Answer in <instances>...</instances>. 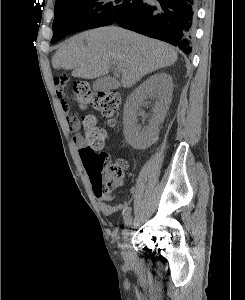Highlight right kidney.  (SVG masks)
Returning a JSON list of instances; mask_svg holds the SVG:
<instances>
[{"mask_svg": "<svg viewBox=\"0 0 245 300\" xmlns=\"http://www.w3.org/2000/svg\"><path fill=\"white\" fill-rule=\"evenodd\" d=\"M173 83L167 73H157L149 77L131 93L124 105V136L129 145L135 149H146L152 145L159 134V125L164 121L172 99ZM148 97H155L154 115L149 125L138 124L137 115Z\"/></svg>", "mask_w": 245, "mask_h": 300, "instance_id": "obj_1", "label": "right kidney"}]
</instances>
